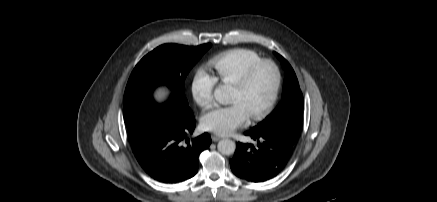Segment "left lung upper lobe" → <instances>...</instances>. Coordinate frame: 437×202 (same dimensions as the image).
Returning <instances> with one entry per match:
<instances>
[{"label": "left lung upper lobe", "mask_w": 437, "mask_h": 202, "mask_svg": "<svg viewBox=\"0 0 437 202\" xmlns=\"http://www.w3.org/2000/svg\"><path fill=\"white\" fill-rule=\"evenodd\" d=\"M275 55L286 73L282 99L275 110L252 130L278 133L295 142L303 116V95L291 65L278 53Z\"/></svg>", "instance_id": "5c2ea615"}]
</instances>
